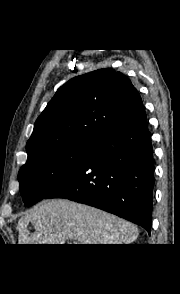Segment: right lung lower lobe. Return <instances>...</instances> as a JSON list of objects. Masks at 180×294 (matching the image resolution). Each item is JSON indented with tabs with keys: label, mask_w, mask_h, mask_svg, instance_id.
<instances>
[{
	"label": "right lung lower lobe",
	"mask_w": 180,
	"mask_h": 294,
	"mask_svg": "<svg viewBox=\"0 0 180 294\" xmlns=\"http://www.w3.org/2000/svg\"><path fill=\"white\" fill-rule=\"evenodd\" d=\"M153 185V148L142 104L101 136L79 168L46 198L84 203L150 232Z\"/></svg>",
	"instance_id": "98d812e1"
}]
</instances>
